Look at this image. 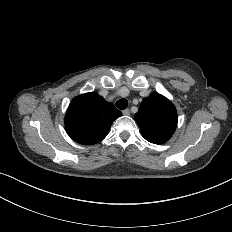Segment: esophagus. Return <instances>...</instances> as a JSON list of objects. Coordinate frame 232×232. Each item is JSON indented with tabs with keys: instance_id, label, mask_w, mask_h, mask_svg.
Here are the masks:
<instances>
[{
	"instance_id": "34e87169",
	"label": "esophagus",
	"mask_w": 232,
	"mask_h": 232,
	"mask_svg": "<svg viewBox=\"0 0 232 232\" xmlns=\"http://www.w3.org/2000/svg\"><path fill=\"white\" fill-rule=\"evenodd\" d=\"M122 114L125 115V116H129L130 115V110L129 109H124L122 111Z\"/></svg>"
}]
</instances>
